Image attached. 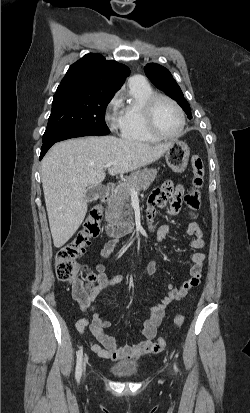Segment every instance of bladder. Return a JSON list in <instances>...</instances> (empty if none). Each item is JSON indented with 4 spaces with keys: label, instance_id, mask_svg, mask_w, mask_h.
<instances>
[{
    "label": "bladder",
    "instance_id": "31cf9c89",
    "mask_svg": "<svg viewBox=\"0 0 250 413\" xmlns=\"http://www.w3.org/2000/svg\"><path fill=\"white\" fill-rule=\"evenodd\" d=\"M109 370L116 377L130 378L137 375L138 365L131 362H122L111 365Z\"/></svg>",
    "mask_w": 250,
    "mask_h": 413
}]
</instances>
